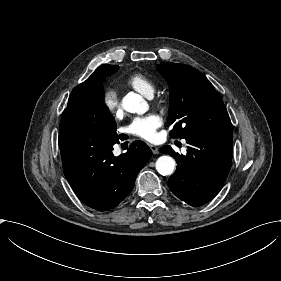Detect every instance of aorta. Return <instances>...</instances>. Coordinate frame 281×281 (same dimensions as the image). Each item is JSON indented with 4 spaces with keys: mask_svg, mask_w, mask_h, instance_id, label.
Segmentation results:
<instances>
[{
    "mask_svg": "<svg viewBox=\"0 0 281 281\" xmlns=\"http://www.w3.org/2000/svg\"><path fill=\"white\" fill-rule=\"evenodd\" d=\"M122 106L125 111L137 114H144L149 108L143 97L133 92L122 99ZM155 166L158 173L167 176L174 172L176 162L171 156L163 155L157 159Z\"/></svg>",
    "mask_w": 281,
    "mask_h": 281,
    "instance_id": "1",
    "label": "aorta"
}]
</instances>
